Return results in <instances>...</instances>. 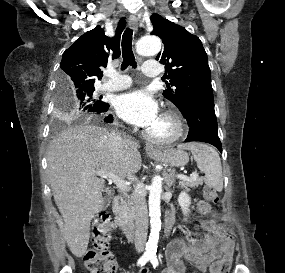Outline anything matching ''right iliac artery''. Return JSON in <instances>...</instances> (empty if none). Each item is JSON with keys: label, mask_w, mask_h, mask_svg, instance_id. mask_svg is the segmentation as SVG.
Returning a JSON list of instances; mask_svg holds the SVG:
<instances>
[{"label": "right iliac artery", "mask_w": 285, "mask_h": 273, "mask_svg": "<svg viewBox=\"0 0 285 273\" xmlns=\"http://www.w3.org/2000/svg\"><path fill=\"white\" fill-rule=\"evenodd\" d=\"M149 259H150V255L144 254L139 258L137 265L143 266L149 261Z\"/></svg>", "instance_id": "right-iliac-artery-1"}]
</instances>
